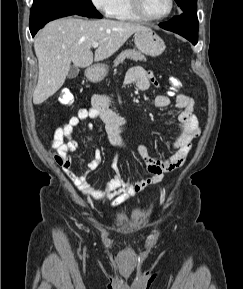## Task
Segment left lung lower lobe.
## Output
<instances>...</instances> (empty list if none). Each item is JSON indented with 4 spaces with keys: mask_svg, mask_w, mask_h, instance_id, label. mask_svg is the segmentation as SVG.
<instances>
[{
    "mask_svg": "<svg viewBox=\"0 0 243 289\" xmlns=\"http://www.w3.org/2000/svg\"><path fill=\"white\" fill-rule=\"evenodd\" d=\"M159 26L185 37L194 45L197 44L198 19L196 11L184 12L171 21L160 23Z\"/></svg>",
    "mask_w": 243,
    "mask_h": 289,
    "instance_id": "left-lung-lower-lobe-1",
    "label": "left lung lower lobe"
}]
</instances>
